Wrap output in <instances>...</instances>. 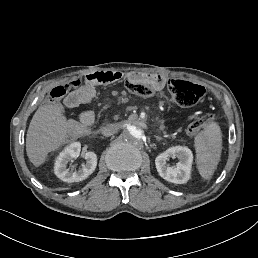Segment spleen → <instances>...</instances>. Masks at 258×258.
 Here are the masks:
<instances>
[{
	"label": "spleen",
	"instance_id": "3e777b00",
	"mask_svg": "<svg viewBox=\"0 0 258 258\" xmlns=\"http://www.w3.org/2000/svg\"><path fill=\"white\" fill-rule=\"evenodd\" d=\"M196 163L200 175L211 179L220 161L222 133L217 123L209 124L195 137Z\"/></svg>",
	"mask_w": 258,
	"mask_h": 258
}]
</instances>
